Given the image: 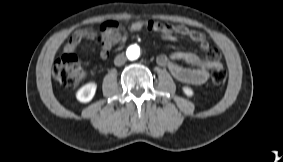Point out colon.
<instances>
[{
  "instance_id": "1",
  "label": "colon",
  "mask_w": 283,
  "mask_h": 162,
  "mask_svg": "<svg viewBox=\"0 0 283 162\" xmlns=\"http://www.w3.org/2000/svg\"><path fill=\"white\" fill-rule=\"evenodd\" d=\"M53 74L58 82L65 88H73L83 75L80 61L74 54H64L58 58L53 67ZM227 72L224 68L214 69L211 77L215 88L221 89L226 82Z\"/></svg>"
}]
</instances>
